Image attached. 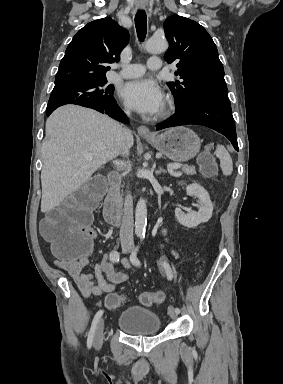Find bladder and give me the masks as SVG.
<instances>
[{
    "instance_id": "obj_1",
    "label": "bladder",
    "mask_w": 283,
    "mask_h": 384,
    "mask_svg": "<svg viewBox=\"0 0 283 384\" xmlns=\"http://www.w3.org/2000/svg\"><path fill=\"white\" fill-rule=\"evenodd\" d=\"M116 325L129 336H155L161 330L162 319L158 311L133 305L122 310Z\"/></svg>"
}]
</instances>
